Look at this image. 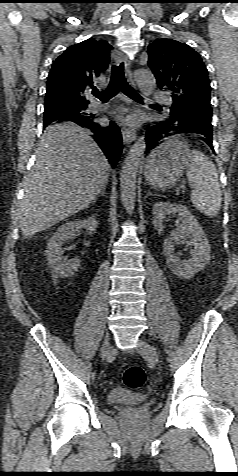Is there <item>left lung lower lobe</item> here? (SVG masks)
Masks as SVG:
<instances>
[{
    "label": "left lung lower lobe",
    "instance_id": "obj_1",
    "mask_svg": "<svg viewBox=\"0 0 238 476\" xmlns=\"http://www.w3.org/2000/svg\"><path fill=\"white\" fill-rule=\"evenodd\" d=\"M156 109L162 111V119L147 131L146 151L155 149L167 137L181 134H198L200 140L204 141L214 152L212 115L199 112H178L171 109L163 111L160 106H157Z\"/></svg>",
    "mask_w": 238,
    "mask_h": 476
}]
</instances>
